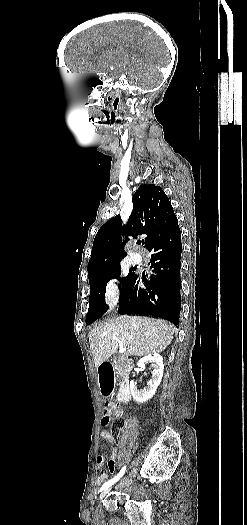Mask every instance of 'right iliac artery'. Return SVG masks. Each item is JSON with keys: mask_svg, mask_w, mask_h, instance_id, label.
<instances>
[{"mask_svg": "<svg viewBox=\"0 0 247 525\" xmlns=\"http://www.w3.org/2000/svg\"><path fill=\"white\" fill-rule=\"evenodd\" d=\"M125 469H126V466H124L121 471L119 472L118 475H116L114 478L110 479L109 481L105 482L102 487L100 488V491H103L105 489H107L108 487H110L111 485H113L115 482H117L120 477H122V475L124 474L125 472Z\"/></svg>", "mask_w": 247, "mask_h": 525, "instance_id": "right-iliac-artery-1", "label": "right iliac artery"}]
</instances>
